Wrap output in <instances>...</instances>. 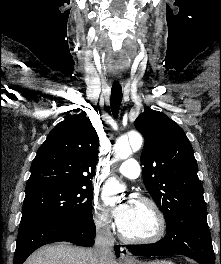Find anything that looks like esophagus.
Wrapping results in <instances>:
<instances>
[{
  "mask_svg": "<svg viewBox=\"0 0 221 264\" xmlns=\"http://www.w3.org/2000/svg\"><path fill=\"white\" fill-rule=\"evenodd\" d=\"M120 260L124 263H130L134 261V257L126 247H121L120 250Z\"/></svg>",
  "mask_w": 221,
  "mask_h": 264,
  "instance_id": "esophagus-1",
  "label": "esophagus"
}]
</instances>
